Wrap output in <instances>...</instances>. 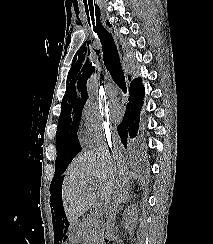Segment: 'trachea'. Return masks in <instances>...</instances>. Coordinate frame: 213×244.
I'll return each instance as SVG.
<instances>
[{"label":"trachea","instance_id":"trachea-1","mask_svg":"<svg viewBox=\"0 0 213 244\" xmlns=\"http://www.w3.org/2000/svg\"><path fill=\"white\" fill-rule=\"evenodd\" d=\"M87 15L91 18L93 31L98 35L103 51V60L106 69L110 72L113 81L122 89L127 91L124 72L120 63L117 47L112 35L103 27L100 21V9L98 7L87 9Z\"/></svg>","mask_w":213,"mask_h":244}]
</instances>
